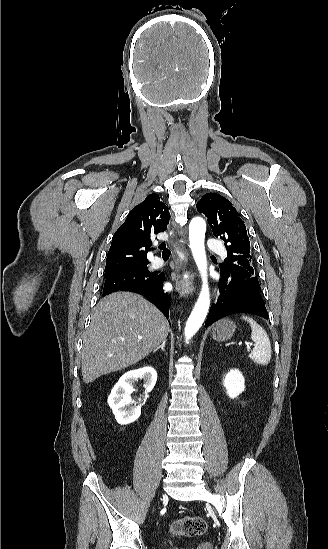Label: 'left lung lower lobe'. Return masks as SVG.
<instances>
[{"mask_svg": "<svg viewBox=\"0 0 328 549\" xmlns=\"http://www.w3.org/2000/svg\"><path fill=\"white\" fill-rule=\"evenodd\" d=\"M220 273L218 300L211 306L205 326L236 313H249L269 318L260 294L258 279Z\"/></svg>", "mask_w": 328, "mask_h": 549, "instance_id": "obj_1", "label": "left lung lower lobe"}]
</instances>
